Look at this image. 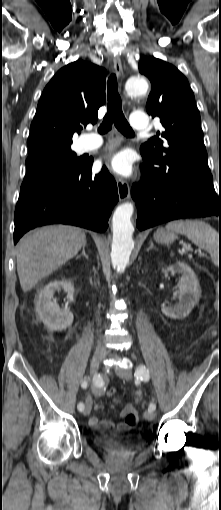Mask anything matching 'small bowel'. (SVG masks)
Returning a JSON list of instances; mask_svg holds the SVG:
<instances>
[{"label": "small bowel", "instance_id": "obj_1", "mask_svg": "<svg viewBox=\"0 0 221 510\" xmlns=\"http://www.w3.org/2000/svg\"><path fill=\"white\" fill-rule=\"evenodd\" d=\"M102 391H103V389L101 386H98L94 389L95 394L98 396L102 394ZM94 409L96 412L102 411L103 405L96 404ZM131 411H134V407L132 405H127L121 411L120 416L125 417ZM89 425L92 428L99 430L101 432L123 431V430H128V429L132 428V426H129L126 423L116 425L112 421H109V420H104V421L100 420L96 415H92L90 417Z\"/></svg>", "mask_w": 221, "mask_h": 510}]
</instances>
